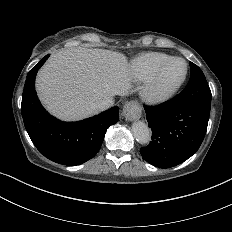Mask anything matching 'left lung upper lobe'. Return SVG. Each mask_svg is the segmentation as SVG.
Returning <instances> with one entry per match:
<instances>
[{"instance_id": "5c2ea615", "label": "left lung upper lobe", "mask_w": 232, "mask_h": 232, "mask_svg": "<svg viewBox=\"0 0 232 232\" xmlns=\"http://www.w3.org/2000/svg\"><path fill=\"white\" fill-rule=\"evenodd\" d=\"M190 80L185 89L175 97V100L195 104L210 111L211 91L201 69L190 62Z\"/></svg>"}]
</instances>
